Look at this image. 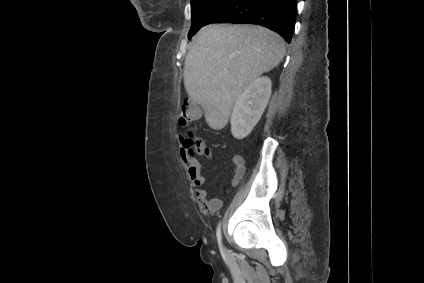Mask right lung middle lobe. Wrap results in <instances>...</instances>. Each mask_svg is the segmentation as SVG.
Returning <instances> with one entry per match:
<instances>
[{
	"mask_svg": "<svg viewBox=\"0 0 424 283\" xmlns=\"http://www.w3.org/2000/svg\"><path fill=\"white\" fill-rule=\"evenodd\" d=\"M228 2V0H191V28L188 35H194L207 21Z\"/></svg>",
	"mask_w": 424,
	"mask_h": 283,
	"instance_id": "dd1d6c3e",
	"label": "right lung middle lobe"
}]
</instances>
